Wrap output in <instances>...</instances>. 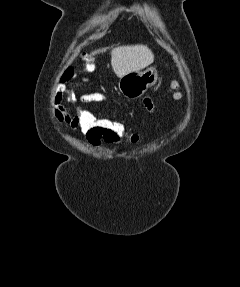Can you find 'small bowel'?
<instances>
[{"mask_svg": "<svg viewBox=\"0 0 240 287\" xmlns=\"http://www.w3.org/2000/svg\"><path fill=\"white\" fill-rule=\"evenodd\" d=\"M108 96L106 94L100 93V92H92L84 95V101L86 103H101V102H106L108 101ZM143 104L145 108L149 112H154L155 111V106L153 101L151 100L150 97H145L143 100ZM52 107H53V115L56 118V120L61 123L66 125L68 128L71 130H76L77 127L72 124L67 109L65 107V104L61 98V96L58 93V89L56 87L52 99ZM87 142L95 148L100 147V145L105 142L109 144H118L120 140L117 139H105L100 136L96 135H85Z\"/></svg>", "mask_w": 240, "mask_h": 287, "instance_id": "obj_1", "label": "small bowel"}]
</instances>
